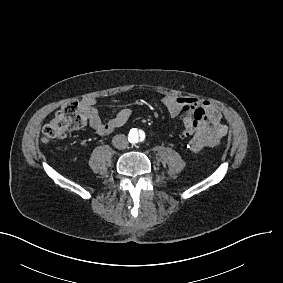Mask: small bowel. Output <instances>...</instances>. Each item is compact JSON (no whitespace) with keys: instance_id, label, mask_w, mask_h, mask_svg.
<instances>
[{"instance_id":"1","label":"small bowel","mask_w":283,"mask_h":283,"mask_svg":"<svg viewBox=\"0 0 283 283\" xmlns=\"http://www.w3.org/2000/svg\"><path fill=\"white\" fill-rule=\"evenodd\" d=\"M161 101L168 113L174 118L175 112L181 103L190 102L195 106V118L199 122V129L193 134V138L187 144V148L191 152L197 153L220 144L223 137L228 133L229 128L223 122L221 111L206 99L187 95L176 96L167 94ZM96 103V98L86 97L81 100L80 108L88 119L92 129L98 135L109 134L116 128L126 124L131 118V110L129 108H122L115 115L102 120L95 107ZM183 135L188 136L184 133Z\"/></svg>"}]
</instances>
